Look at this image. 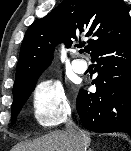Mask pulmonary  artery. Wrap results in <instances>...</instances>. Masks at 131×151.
<instances>
[{
  "mask_svg": "<svg viewBox=\"0 0 131 151\" xmlns=\"http://www.w3.org/2000/svg\"><path fill=\"white\" fill-rule=\"evenodd\" d=\"M73 70L77 73H84L87 70V63L84 60H74L72 62Z\"/></svg>",
  "mask_w": 131,
  "mask_h": 151,
  "instance_id": "1",
  "label": "pulmonary artery"
}]
</instances>
